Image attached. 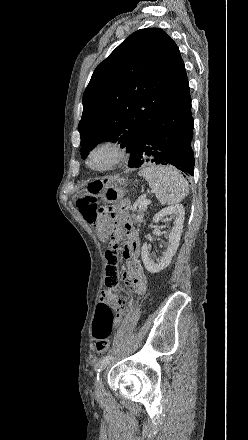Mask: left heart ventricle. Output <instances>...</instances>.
Wrapping results in <instances>:
<instances>
[{"label":"left heart ventricle","mask_w":248,"mask_h":440,"mask_svg":"<svg viewBox=\"0 0 248 440\" xmlns=\"http://www.w3.org/2000/svg\"><path fill=\"white\" fill-rule=\"evenodd\" d=\"M107 160H108V155L106 153H98L93 157L92 163L95 165H100L106 162Z\"/></svg>","instance_id":"b2bd125f"}]
</instances>
